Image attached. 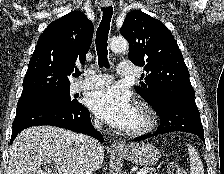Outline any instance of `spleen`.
<instances>
[{"mask_svg": "<svg viewBox=\"0 0 224 174\" xmlns=\"http://www.w3.org/2000/svg\"><path fill=\"white\" fill-rule=\"evenodd\" d=\"M187 146L190 157V174H204V167L196 149L190 145Z\"/></svg>", "mask_w": 224, "mask_h": 174, "instance_id": "3e777b00", "label": "spleen"}]
</instances>
